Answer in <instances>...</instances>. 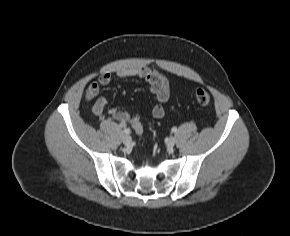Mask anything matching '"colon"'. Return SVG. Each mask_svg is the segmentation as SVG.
<instances>
[{"mask_svg":"<svg viewBox=\"0 0 290 236\" xmlns=\"http://www.w3.org/2000/svg\"><path fill=\"white\" fill-rule=\"evenodd\" d=\"M195 97H196V101L201 106L208 105L211 100L209 93L205 89H202V88H199L196 90ZM132 126L138 134H141L143 132V126L137 117H135L132 120Z\"/></svg>","mask_w":290,"mask_h":236,"instance_id":"obj_1","label":"colon"}]
</instances>
